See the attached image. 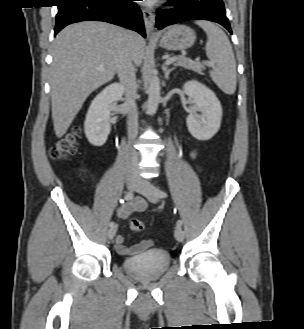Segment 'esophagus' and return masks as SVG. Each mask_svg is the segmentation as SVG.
I'll return each mask as SVG.
<instances>
[{
	"mask_svg": "<svg viewBox=\"0 0 304 329\" xmlns=\"http://www.w3.org/2000/svg\"><path fill=\"white\" fill-rule=\"evenodd\" d=\"M143 20L145 24L146 33L149 37L154 36V15L151 10L144 8L142 9Z\"/></svg>",
	"mask_w": 304,
	"mask_h": 329,
	"instance_id": "obj_1",
	"label": "esophagus"
}]
</instances>
